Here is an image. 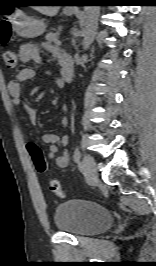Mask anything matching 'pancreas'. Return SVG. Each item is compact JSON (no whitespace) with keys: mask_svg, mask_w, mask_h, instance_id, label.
I'll return each instance as SVG.
<instances>
[{"mask_svg":"<svg viewBox=\"0 0 156 266\" xmlns=\"http://www.w3.org/2000/svg\"><path fill=\"white\" fill-rule=\"evenodd\" d=\"M58 37H59V33L58 32H56V33H48L45 36L46 42L43 45L52 47V44L53 43L56 44V42L58 41Z\"/></svg>","mask_w":156,"mask_h":266,"instance_id":"cf45deb5","label":"pancreas"}]
</instances>
